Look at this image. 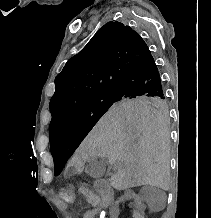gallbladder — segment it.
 Segmentation results:
<instances>
[{
    "mask_svg": "<svg viewBox=\"0 0 211 218\" xmlns=\"http://www.w3.org/2000/svg\"><path fill=\"white\" fill-rule=\"evenodd\" d=\"M105 164H107V158H103L100 162H98V158H92L86 166V174L92 178H102L105 174Z\"/></svg>",
    "mask_w": 211,
    "mask_h": 218,
    "instance_id": "gallbladder-1",
    "label": "gallbladder"
}]
</instances>
